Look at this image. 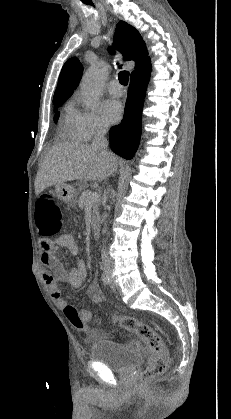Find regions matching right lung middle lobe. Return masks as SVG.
<instances>
[{"label": "right lung middle lobe", "instance_id": "dd1d6c3e", "mask_svg": "<svg viewBox=\"0 0 231 419\" xmlns=\"http://www.w3.org/2000/svg\"><path fill=\"white\" fill-rule=\"evenodd\" d=\"M65 100L66 99L55 100V101H53V104H54L55 107H59L65 102ZM58 118H59V112H56V114L54 116V121L57 122Z\"/></svg>", "mask_w": 231, "mask_h": 419}]
</instances>
